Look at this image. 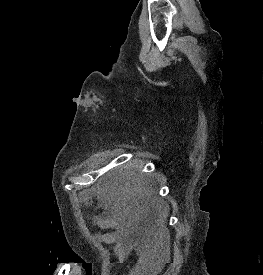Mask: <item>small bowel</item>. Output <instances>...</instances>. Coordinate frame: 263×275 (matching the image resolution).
<instances>
[{"label": "small bowel", "instance_id": "obj_1", "mask_svg": "<svg viewBox=\"0 0 263 275\" xmlns=\"http://www.w3.org/2000/svg\"><path fill=\"white\" fill-rule=\"evenodd\" d=\"M95 224L100 228H109L113 226L110 220L102 219L96 220ZM98 239L115 244V253L120 261H123L130 252L134 250L138 252L133 267L124 275H153L151 273L157 270L155 265L150 263L146 254L139 248L138 244L123 231L116 230L109 233H103L98 236Z\"/></svg>", "mask_w": 263, "mask_h": 275}]
</instances>
